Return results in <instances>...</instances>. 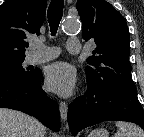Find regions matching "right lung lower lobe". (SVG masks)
<instances>
[{
	"mask_svg": "<svg viewBox=\"0 0 144 137\" xmlns=\"http://www.w3.org/2000/svg\"><path fill=\"white\" fill-rule=\"evenodd\" d=\"M42 74L37 69L34 79L26 83H0V107L22 111L34 116L48 128L59 131V108L41 88Z\"/></svg>",
	"mask_w": 144,
	"mask_h": 137,
	"instance_id": "obj_1",
	"label": "right lung lower lobe"
}]
</instances>
